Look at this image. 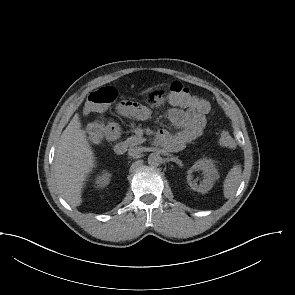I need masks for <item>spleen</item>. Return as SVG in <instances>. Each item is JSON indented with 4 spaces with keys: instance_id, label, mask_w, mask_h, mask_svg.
Masks as SVG:
<instances>
[{
    "instance_id": "obj_1",
    "label": "spleen",
    "mask_w": 295,
    "mask_h": 295,
    "mask_svg": "<svg viewBox=\"0 0 295 295\" xmlns=\"http://www.w3.org/2000/svg\"><path fill=\"white\" fill-rule=\"evenodd\" d=\"M241 174L242 169L240 164L234 165L230 169L223 183V193L225 198L228 199L235 194L241 181Z\"/></svg>"
}]
</instances>
